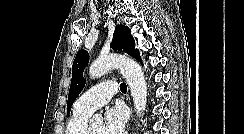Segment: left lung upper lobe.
I'll list each match as a JSON object with an SVG mask.
<instances>
[{"label": "left lung upper lobe", "mask_w": 244, "mask_h": 134, "mask_svg": "<svg viewBox=\"0 0 244 134\" xmlns=\"http://www.w3.org/2000/svg\"><path fill=\"white\" fill-rule=\"evenodd\" d=\"M111 47L116 50H123L141 62V57L138 50L135 49L134 39L131 36L130 29L127 26H116ZM88 62V52L85 50H80L77 53L72 66V80L68 94L67 114L70 113L72 104L85 86L83 71Z\"/></svg>", "instance_id": "left-lung-upper-lobe-1"}]
</instances>
